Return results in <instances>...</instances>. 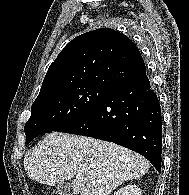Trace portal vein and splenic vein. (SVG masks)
<instances>
[{"label": "portal vein and splenic vein", "mask_w": 189, "mask_h": 195, "mask_svg": "<svg viewBox=\"0 0 189 195\" xmlns=\"http://www.w3.org/2000/svg\"><path fill=\"white\" fill-rule=\"evenodd\" d=\"M81 178V175L80 174H77L76 175V179H80Z\"/></svg>", "instance_id": "1"}]
</instances>
